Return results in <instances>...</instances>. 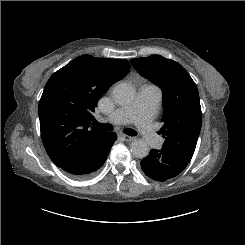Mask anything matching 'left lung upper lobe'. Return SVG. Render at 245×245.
I'll use <instances>...</instances> for the list:
<instances>
[{"mask_svg":"<svg viewBox=\"0 0 245 245\" xmlns=\"http://www.w3.org/2000/svg\"><path fill=\"white\" fill-rule=\"evenodd\" d=\"M163 92V147L190 162L201 129L202 113L196 84L177 62L160 55L130 60Z\"/></svg>","mask_w":245,"mask_h":245,"instance_id":"left-lung-upper-lobe-1","label":"left lung upper lobe"}]
</instances>
